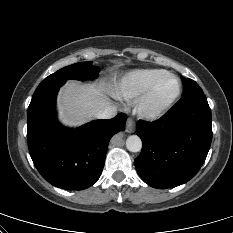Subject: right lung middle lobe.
Returning a JSON list of instances; mask_svg holds the SVG:
<instances>
[{
	"label": "right lung middle lobe",
	"mask_w": 233,
	"mask_h": 233,
	"mask_svg": "<svg viewBox=\"0 0 233 233\" xmlns=\"http://www.w3.org/2000/svg\"><path fill=\"white\" fill-rule=\"evenodd\" d=\"M99 69L93 66L91 62H79L66 66L57 72L46 77L35 90L33 97H36L47 91L58 89L68 79H89L98 76Z\"/></svg>",
	"instance_id": "dd1d6c3e"
}]
</instances>
